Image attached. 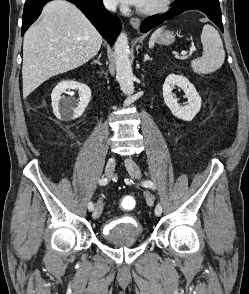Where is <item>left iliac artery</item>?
Segmentation results:
<instances>
[{
    "instance_id": "left-iliac-artery-1",
    "label": "left iliac artery",
    "mask_w": 249,
    "mask_h": 294,
    "mask_svg": "<svg viewBox=\"0 0 249 294\" xmlns=\"http://www.w3.org/2000/svg\"><path fill=\"white\" fill-rule=\"evenodd\" d=\"M142 185L146 188H150V189H155V185L152 181L150 180H146L142 183ZM162 213V208L160 206V204H157L156 208H155V215L156 216H160Z\"/></svg>"
}]
</instances>
